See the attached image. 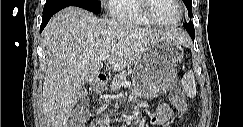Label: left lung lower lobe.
<instances>
[{
	"mask_svg": "<svg viewBox=\"0 0 243 127\" xmlns=\"http://www.w3.org/2000/svg\"><path fill=\"white\" fill-rule=\"evenodd\" d=\"M185 25V24H184ZM187 32L189 33V35L191 36L192 40L194 41V37H195V31L194 28H186Z\"/></svg>",
	"mask_w": 243,
	"mask_h": 127,
	"instance_id": "0a47b994",
	"label": "left lung lower lobe"
}]
</instances>
